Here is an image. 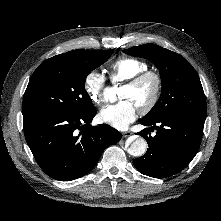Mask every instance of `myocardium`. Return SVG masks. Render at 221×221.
<instances>
[{"label":"myocardium","mask_w":221,"mask_h":221,"mask_svg":"<svg viewBox=\"0 0 221 221\" xmlns=\"http://www.w3.org/2000/svg\"><path fill=\"white\" fill-rule=\"evenodd\" d=\"M147 82H152L153 92L150 99L145 104L139 107V110L142 114L149 113L158 104L162 94V87H163L162 77L160 76L159 73L155 71L146 70L124 81V85H130L134 87H140Z\"/></svg>","instance_id":"obj_1"}]
</instances>
